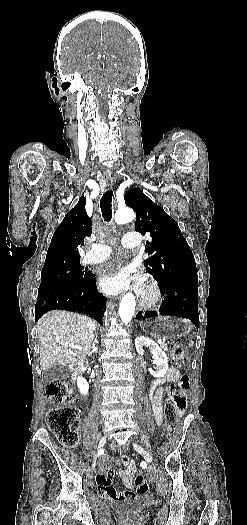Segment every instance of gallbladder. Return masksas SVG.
Here are the masks:
<instances>
[{
	"label": "gallbladder",
	"instance_id": "1",
	"mask_svg": "<svg viewBox=\"0 0 247 525\" xmlns=\"http://www.w3.org/2000/svg\"><path fill=\"white\" fill-rule=\"evenodd\" d=\"M69 373V368L61 367V364H55V366H50L46 373L48 380L53 381L56 379L57 375Z\"/></svg>",
	"mask_w": 247,
	"mask_h": 525
}]
</instances>
